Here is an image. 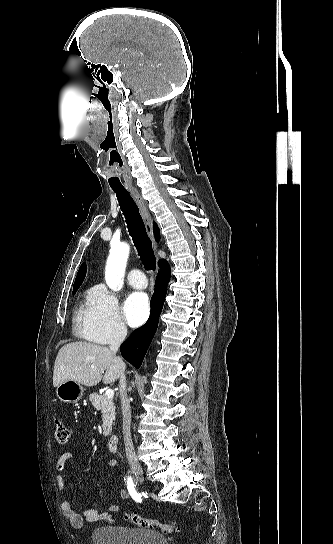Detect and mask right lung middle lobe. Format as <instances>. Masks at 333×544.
<instances>
[{"instance_id": "dd1d6c3e", "label": "right lung middle lobe", "mask_w": 333, "mask_h": 544, "mask_svg": "<svg viewBox=\"0 0 333 544\" xmlns=\"http://www.w3.org/2000/svg\"><path fill=\"white\" fill-rule=\"evenodd\" d=\"M77 290H73V295L76 293Z\"/></svg>"}]
</instances>
